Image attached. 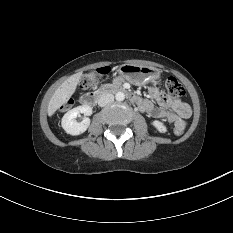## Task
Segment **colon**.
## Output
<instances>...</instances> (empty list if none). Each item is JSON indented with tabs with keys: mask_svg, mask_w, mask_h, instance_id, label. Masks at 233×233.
Segmentation results:
<instances>
[{
	"mask_svg": "<svg viewBox=\"0 0 233 233\" xmlns=\"http://www.w3.org/2000/svg\"><path fill=\"white\" fill-rule=\"evenodd\" d=\"M110 72L108 67H102L96 70L94 73H89L83 76L81 80V87L83 89L93 88L99 78L106 76ZM166 90L169 96L177 98L181 97L185 94V89L183 85L175 78L169 77L166 81ZM70 105V102L64 106L67 108ZM183 129L181 127L175 126L174 133L176 135H180L183 133Z\"/></svg>",
	"mask_w": 233,
	"mask_h": 233,
	"instance_id": "5ec220e1",
	"label": "colon"
}]
</instances>
